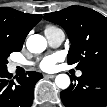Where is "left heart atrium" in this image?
<instances>
[{"mask_svg": "<svg viewBox=\"0 0 107 107\" xmlns=\"http://www.w3.org/2000/svg\"><path fill=\"white\" fill-rule=\"evenodd\" d=\"M60 59L61 56L58 54L49 55L42 58L38 62V65L44 71H52L55 69L57 62L60 61Z\"/></svg>", "mask_w": 107, "mask_h": 107, "instance_id": "1", "label": "left heart atrium"}]
</instances>
